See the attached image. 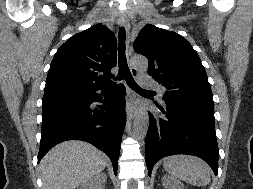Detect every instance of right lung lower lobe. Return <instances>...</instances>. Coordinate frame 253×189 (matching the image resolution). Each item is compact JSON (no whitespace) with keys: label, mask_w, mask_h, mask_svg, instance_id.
Segmentation results:
<instances>
[{"label":"right lung lower lobe","mask_w":253,"mask_h":189,"mask_svg":"<svg viewBox=\"0 0 253 189\" xmlns=\"http://www.w3.org/2000/svg\"><path fill=\"white\" fill-rule=\"evenodd\" d=\"M96 101L102 105L93 106ZM42 117L38 162L60 142L83 140L102 150L111 159L117 173L126 122L125 88L122 84L46 93Z\"/></svg>","instance_id":"obj_1"}]
</instances>
